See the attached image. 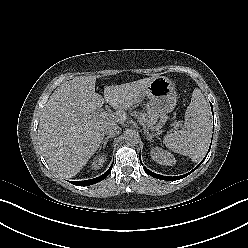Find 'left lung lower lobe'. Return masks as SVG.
<instances>
[{
    "instance_id": "left-lung-lower-lobe-1",
    "label": "left lung lower lobe",
    "mask_w": 248,
    "mask_h": 248,
    "mask_svg": "<svg viewBox=\"0 0 248 248\" xmlns=\"http://www.w3.org/2000/svg\"><path fill=\"white\" fill-rule=\"evenodd\" d=\"M209 152V151H208ZM207 156V155H206ZM206 158V157H205ZM204 158V159H205ZM204 159L202 160V162L204 161ZM140 162H141V158H140ZM201 162V163H202ZM200 163V164H201ZM141 164H142V162H141ZM200 164L195 168V169H197L199 166H200ZM143 165V164H142ZM195 169H193L191 172H189V173H187V174H184V175H181V176H176V177H169V176H162V175H158V174H155V173H153V172H151L150 170H148L146 167H144V170H145V172L148 174V175H150V176H152V177H154V178H157V179H161V180H179V179H182V178H184V177H186V176H188L190 173H192Z\"/></svg>"
}]
</instances>
